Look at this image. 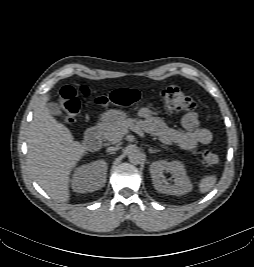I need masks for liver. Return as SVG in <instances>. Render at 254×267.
Returning <instances> with one entry per match:
<instances>
[{"mask_svg": "<svg viewBox=\"0 0 254 267\" xmlns=\"http://www.w3.org/2000/svg\"><path fill=\"white\" fill-rule=\"evenodd\" d=\"M43 96L34 110L27 139V161L35 181L58 202L69 201L70 174L88 148L49 112Z\"/></svg>", "mask_w": 254, "mask_h": 267, "instance_id": "liver-1", "label": "liver"}]
</instances>
